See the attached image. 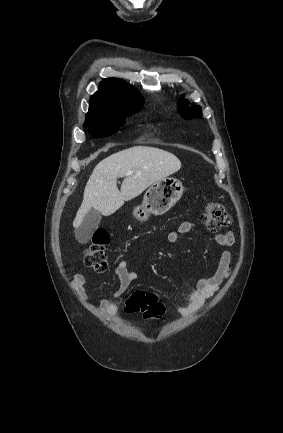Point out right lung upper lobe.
Segmentation results:
<instances>
[{"label":"right lung upper lobe","mask_w":283,"mask_h":433,"mask_svg":"<svg viewBox=\"0 0 283 433\" xmlns=\"http://www.w3.org/2000/svg\"><path fill=\"white\" fill-rule=\"evenodd\" d=\"M142 107L143 99L132 85L117 78H108L100 83L99 91L91 96L88 113Z\"/></svg>","instance_id":"obj_1"}]
</instances>
